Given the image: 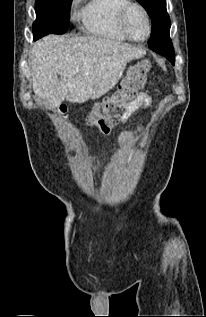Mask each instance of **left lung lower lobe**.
Instances as JSON below:
<instances>
[{"label":"left lung lower lobe","instance_id":"obj_1","mask_svg":"<svg viewBox=\"0 0 206 317\" xmlns=\"http://www.w3.org/2000/svg\"><path fill=\"white\" fill-rule=\"evenodd\" d=\"M148 45H149L150 49H152L153 51H155L158 54H161V55L165 56L167 59L172 61V64H174L175 56H174V50H173L172 43H170V42H165V43H162V42H156V43L148 42Z\"/></svg>","mask_w":206,"mask_h":317}]
</instances>
